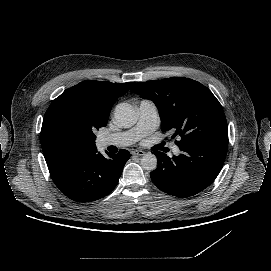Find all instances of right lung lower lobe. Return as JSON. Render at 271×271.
Returning a JSON list of instances; mask_svg holds the SVG:
<instances>
[{"instance_id":"right-lung-lower-lobe-1","label":"right lung lower lobe","mask_w":271,"mask_h":271,"mask_svg":"<svg viewBox=\"0 0 271 271\" xmlns=\"http://www.w3.org/2000/svg\"><path fill=\"white\" fill-rule=\"evenodd\" d=\"M107 154L108 159L95 146L57 152L45 159L59 190L73 201L86 203L105 197L116 187L130 158L127 150Z\"/></svg>"}]
</instances>
